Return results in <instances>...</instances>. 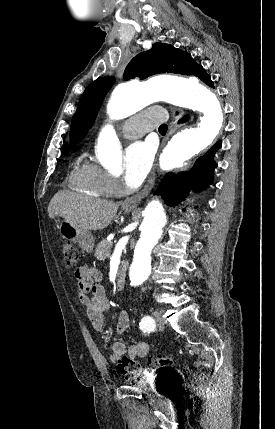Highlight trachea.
<instances>
[{"label": "trachea", "mask_w": 275, "mask_h": 429, "mask_svg": "<svg viewBox=\"0 0 275 429\" xmlns=\"http://www.w3.org/2000/svg\"><path fill=\"white\" fill-rule=\"evenodd\" d=\"M167 128H168V126L166 124H162L158 130L160 133H166Z\"/></svg>", "instance_id": "3493384b"}]
</instances>
